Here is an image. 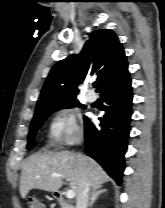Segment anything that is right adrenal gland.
Segmentation results:
<instances>
[{
	"mask_svg": "<svg viewBox=\"0 0 165 208\" xmlns=\"http://www.w3.org/2000/svg\"><path fill=\"white\" fill-rule=\"evenodd\" d=\"M107 189H102V187H94L91 190V196H90V201L88 203V207H92L94 202L97 200V198L103 194L106 193Z\"/></svg>",
	"mask_w": 165,
	"mask_h": 208,
	"instance_id": "obj_1",
	"label": "right adrenal gland"
}]
</instances>
